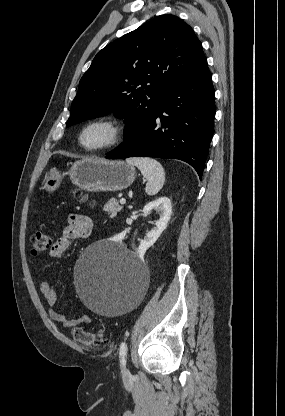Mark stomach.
<instances>
[{
    "instance_id": "obj_1",
    "label": "stomach",
    "mask_w": 285,
    "mask_h": 416,
    "mask_svg": "<svg viewBox=\"0 0 285 416\" xmlns=\"http://www.w3.org/2000/svg\"><path fill=\"white\" fill-rule=\"evenodd\" d=\"M63 176H69L72 184L86 192H120L134 182L136 170L134 166L121 160L85 158L74 162L65 174H60L57 168H51L45 176L41 190L55 192Z\"/></svg>"
}]
</instances>
